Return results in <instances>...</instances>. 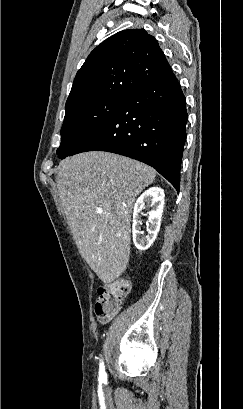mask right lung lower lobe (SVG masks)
I'll list each match as a JSON object with an SVG mask.
<instances>
[{
	"label": "right lung lower lobe",
	"mask_w": 243,
	"mask_h": 409,
	"mask_svg": "<svg viewBox=\"0 0 243 409\" xmlns=\"http://www.w3.org/2000/svg\"><path fill=\"white\" fill-rule=\"evenodd\" d=\"M186 99L173 72L126 97L117 113L68 156L107 151L155 168L177 191L186 141Z\"/></svg>",
	"instance_id": "98d812e1"
}]
</instances>
